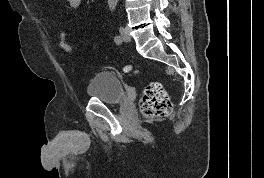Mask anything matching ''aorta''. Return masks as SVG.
<instances>
[{
  "mask_svg": "<svg viewBox=\"0 0 264 178\" xmlns=\"http://www.w3.org/2000/svg\"><path fill=\"white\" fill-rule=\"evenodd\" d=\"M118 0H108V6L111 10L115 9Z\"/></svg>",
  "mask_w": 264,
  "mask_h": 178,
  "instance_id": "obj_1",
  "label": "aorta"
}]
</instances>
